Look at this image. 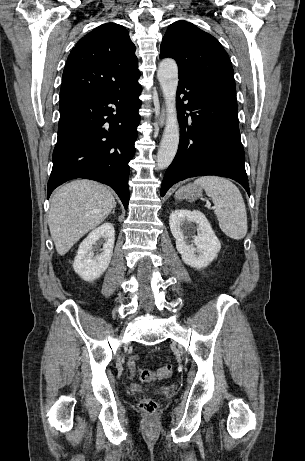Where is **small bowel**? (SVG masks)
I'll return each instance as SVG.
<instances>
[{"label": "small bowel", "instance_id": "c3829d8e", "mask_svg": "<svg viewBox=\"0 0 305 461\" xmlns=\"http://www.w3.org/2000/svg\"><path fill=\"white\" fill-rule=\"evenodd\" d=\"M136 360H138L137 357H132L128 360V363H127V370L128 372L131 374V375H134L135 374V363H136Z\"/></svg>", "mask_w": 305, "mask_h": 461}]
</instances>
